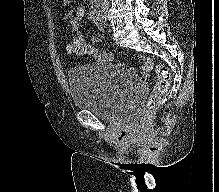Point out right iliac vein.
Returning <instances> with one entry per match:
<instances>
[{
  "label": "right iliac vein",
  "mask_w": 219,
  "mask_h": 192,
  "mask_svg": "<svg viewBox=\"0 0 219 192\" xmlns=\"http://www.w3.org/2000/svg\"><path fill=\"white\" fill-rule=\"evenodd\" d=\"M104 12V15L107 13V11H103Z\"/></svg>",
  "instance_id": "1"
}]
</instances>
